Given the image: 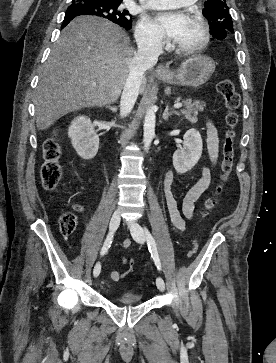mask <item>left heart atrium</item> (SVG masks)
Instances as JSON below:
<instances>
[{
    "mask_svg": "<svg viewBox=\"0 0 276 363\" xmlns=\"http://www.w3.org/2000/svg\"><path fill=\"white\" fill-rule=\"evenodd\" d=\"M186 15L182 12H165L156 17V26L168 39L177 40L181 35Z\"/></svg>",
    "mask_w": 276,
    "mask_h": 363,
    "instance_id": "left-heart-atrium-1",
    "label": "left heart atrium"
}]
</instances>
